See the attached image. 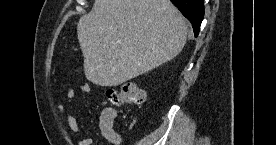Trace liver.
<instances>
[{
	"instance_id": "liver-1",
	"label": "liver",
	"mask_w": 276,
	"mask_h": 145,
	"mask_svg": "<svg viewBox=\"0 0 276 145\" xmlns=\"http://www.w3.org/2000/svg\"><path fill=\"white\" fill-rule=\"evenodd\" d=\"M77 35L86 78L111 87L176 57L187 26L170 0H95Z\"/></svg>"
}]
</instances>
